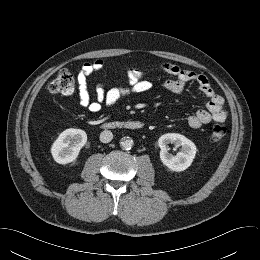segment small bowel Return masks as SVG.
<instances>
[{
  "mask_svg": "<svg viewBox=\"0 0 260 260\" xmlns=\"http://www.w3.org/2000/svg\"><path fill=\"white\" fill-rule=\"evenodd\" d=\"M105 64L102 60L86 62L77 73V95L80 105L92 114L102 111L103 107H112L115 103L127 96L141 95L151 89V83L144 78V72L139 68H127L125 76L127 85L107 89L104 84H99L95 89L96 99L92 100L88 87L89 76L104 70ZM159 70L172 76L162 83V88L170 93L182 92L187 84L196 82L200 91L208 98L205 109H200L188 118V124L192 128H199L210 121L224 122L227 112L224 110L223 97L217 94L208 78L191 70L184 69L172 63H162Z\"/></svg>",
  "mask_w": 260,
  "mask_h": 260,
  "instance_id": "1",
  "label": "small bowel"
}]
</instances>
